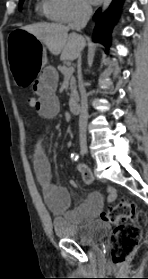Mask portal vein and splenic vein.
<instances>
[{
  "label": "portal vein and splenic vein",
  "instance_id": "obj_1",
  "mask_svg": "<svg viewBox=\"0 0 148 279\" xmlns=\"http://www.w3.org/2000/svg\"><path fill=\"white\" fill-rule=\"evenodd\" d=\"M73 71H74V68H73V67H70L69 70L66 72L65 77H69V75H70L71 73H73Z\"/></svg>",
  "mask_w": 148,
  "mask_h": 279
}]
</instances>
